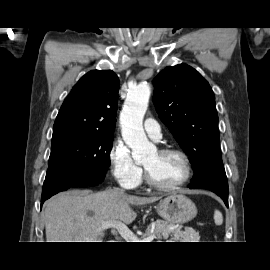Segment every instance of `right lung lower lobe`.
<instances>
[{
    "label": "right lung lower lobe",
    "mask_w": 270,
    "mask_h": 270,
    "mask_svg": "<svg viewBox=\"0 0 270 270\" xmlns=\"http://www.w3.org/2000/svg\"><path fill=\"white\" fill-rule=\"evenodd\" d=\"M105 172L89 175L78 172L72 168L63 169L59 172L46 176L43 184L41 206L54 194L67 190L70 187H86L98 185L103 181Z\"/></svg>",
    "instance_id": "98d812e1"
}]
</instances>
